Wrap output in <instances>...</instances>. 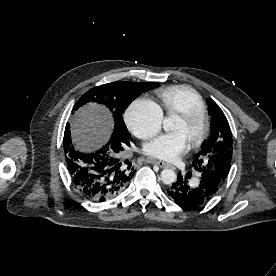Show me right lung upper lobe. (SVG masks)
<instances>
[{
	"label": "right lung upper lobe",
	"instance_id": "cb5924a9",
	"mask_svg": "<svg viewBox=\"0 0 276 276\" xmlns=\"http://www.w3.org/2000/svg\"><path fill=\"white\" fill-rule=\"evenodd\" d=\"M110 145H111V146H112V145H115V148H118V151H119V150L123 149V146H125V145H127V144H120V145H119V144H117V143H116V144H115V143H111ZM127 146H128V145H127Z\"/></svg>",
	"mask_w": 276,
	"mask_h": 276
}]
</instances>
